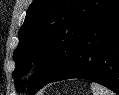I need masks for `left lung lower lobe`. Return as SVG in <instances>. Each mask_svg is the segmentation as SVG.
<instances>
[{"mask_svg": "<svg viewBox=\"0 0 119 95\" xmlns=\"http://www.w3.org/2000/svg\"><path fill=\"white\" fill-rule=\"evenodd\" d=\"M70 78L97 82L119 95V0L89 27L70 65L48 83Z\"/></svg>", "mask_w": 119, "mask_h": 95, "instance_id": "obj_1", "label": "left lung lower lobe"}]
</instances>
